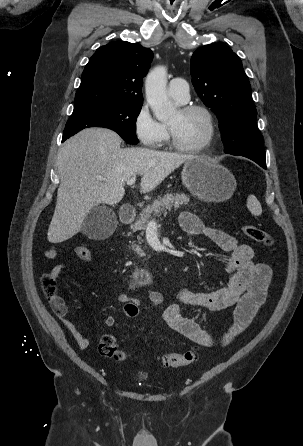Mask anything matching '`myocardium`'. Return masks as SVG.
Masks as SVG:
<instances>
[{"label": "myocardium", "instance_id": "f54148a6", "mask_svg": "<svg viewBox=\"0 0 303 446\" xmlns=\"http://www.w3.org/2000/svg\"><path fill=\"white\" fill-rule=\"evenodd\" d=\"M180 110L183 113H190L193 111H198V112L202 113L206 119L207 126H208L207 136L198 145L185 146L178 142L173 129L169 125H167L170 146L172 148H174L175 150H177L179 152H183V153H199V152L205 150L213 142L215 133H216V125H215V121H214L212 112L205 105L198 104V103L185 104L182 107H180Z\"/></svg>", "mask_w": 303, "mask_h": 446}]
</instances>
